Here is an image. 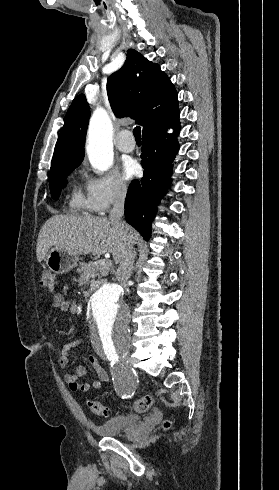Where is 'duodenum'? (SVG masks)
Masks as SVG:
<instances>
[{"label":"duodenum","instance_id":"1","mask_svg":"<svg viewBox=\"0 0 279 490\" xmlns=\"http://www.w3.org/2000/svg\"><path fill=\"white\" fill-rule=\"evenodd\" d=\"M102 285V281H94L85 291V296L89 297L93 292H95Z\"/></svg>","mask_w":279,"mask_h":490}]
</instances>
